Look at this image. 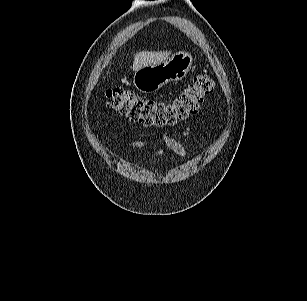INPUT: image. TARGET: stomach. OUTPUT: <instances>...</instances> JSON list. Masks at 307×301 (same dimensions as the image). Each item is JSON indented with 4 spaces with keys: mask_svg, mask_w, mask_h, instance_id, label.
Returning a JSON list of instances; mask_svg holds the SVG:
<instances>
[{
    "mask_svg": "<svg viewBox=\"0 0 307 301\" xmlns=\"http://www.w3.org/2000/svg\"><path fill=\"white\" fill-rule=\"evenodd\" d=\"M193 66L190 53L180 51L156 65H148L135 71L133 85L143 93L159 90L170 81H179L186 77Z\"/></svg>",
    "mask_w": 307,
    "mask_h": 301,
    "instance_id": "0dacf381",
    "label": "stomach"
}]
</instances>
